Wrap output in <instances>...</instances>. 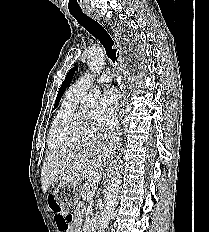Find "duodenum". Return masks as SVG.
<instances>
[{
  "label": "duodenum",
  "mask_w": 209,
  "mask_h": 232,
  "mask_svg": "<svg viewBox=\"0 0 209 232\" xmlns=\"http://www.w3.org/2000/svg\"><path fill=\"white\" fill-rule=\"evenodd\" d=\"M89 232H96V227H95V224H90V227H89Z\"/></svg>",
  "instance_id": "1"
}]
</instances>
